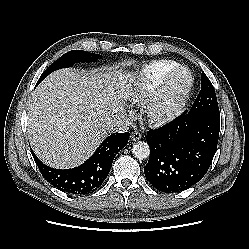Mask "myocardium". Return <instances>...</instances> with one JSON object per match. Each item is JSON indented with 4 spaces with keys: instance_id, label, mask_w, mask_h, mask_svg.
I'll use <instances>...</instances> for the list:
<instances>
[{
    "instance_id": "obj_1",
    "label": "myocardium",
    "mask_w": 249,
    "mask_h": 249,
    "mask_svg": "<svg viewBox=\"0 0 249 249\" xmlns=\"http://www.w3.org/2000/svg\"><path fill=\"white\" fill-rule=\"evenodd\" d=\"M182 71L187 73L188 81L175 97H171L172 82ZM193 86L194 76L187 66L178 65L171 69L145 105L144 113L147 121L153 126H162L176 119L184 111Z\"/></svg>"
}]
</instances>
